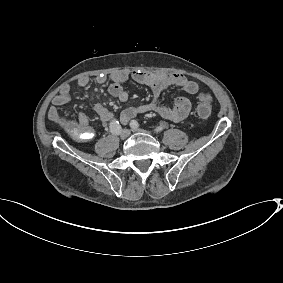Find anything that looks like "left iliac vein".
Instances as JSON below:
<instances>
[{
  "label": "left iliac vein",
  "mask_w": 283,
  "mask_h": 283,
  "mask_svg": "<svg viewBox=\"0 0 283 283\" xmlns=\"http://www.w3.org/2000/svg\"><path fill=\"white\" fill-rule=\"evenodd\" d=\"M131 130L133 132H142V133H149L148 131L144 130V129H141V128H138V127H131Z\"/></svg>",
  "instance_id": "obj_1"
}]
</instances>
